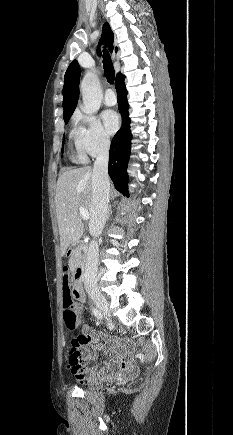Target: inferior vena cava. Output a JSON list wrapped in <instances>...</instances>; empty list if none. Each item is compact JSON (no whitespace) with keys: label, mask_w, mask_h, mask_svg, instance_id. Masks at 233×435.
Returning <instances> with one entry per match:
<instances>
[{"label":"inferior vena cava","mask_w":233,"mask_h":435,"mask_svg":"<svg viewBox=\"0 0 233 435\" xmlns=\"http://www.w3.org/2000/svg\"><path fill=\"white\" fill-rule=\"evenodd\" d=\"M110 141L105 140L94 162L92 176V201L91 218L89 221V232L92 236L101 234L108 216L110 182L108 176V155ZM99 246L97 241L89 243L87 252L84 285L86 289L97 288Z\"/></svg>","instance_id":"1"}]
</instances>
